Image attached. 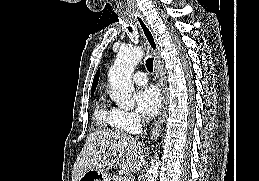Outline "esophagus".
<instances>
[{
	"mask_svg": "<svg viewBox=\"0 0 259 181\" xmlns=\"http://www.w3.org/2000/svg\"><path fill=\"white\" fill-rule=\"evenodd\" d=\"M134 18H135L137 24L139 25L141 32L154 56V59H155L154 67H155L156 75L159 79V84H160V87L162 90V95H163L162 111H161L159 118L155 121V123L152 127V132H151V139H155L159 135V132L161 130V126H162L163 119H164L165 107H166V99H167L166 90H165V77H164L163 65H162V61L160 58V50H159V46H158L156 37H155L154 33L152 32L149 24L147 23L145 18L142 15H140L139 13L134 14Z\"/></svg>",
	"mask_w": 259,
	"mask_h": 181,
	"instance_id": "34e87169",
	"label": "esophagus"
}]
</instances>
